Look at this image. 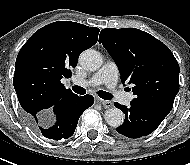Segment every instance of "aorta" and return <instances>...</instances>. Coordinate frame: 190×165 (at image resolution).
<instances>
[{
    "mask_svg": "<svg viewBox=\"0 0 190 165\" xmlns=\"http://www.w3.org/2000/svg\"><path fill=\"white\" fill-rule=\"evenodd\" d=\"M79 62L84 69L96 71L102 65V56L94 49H87L81 53ZM104 117L107 124L112 127H119L124 121V113L116 107L106 110Z\"/></svg>",
    "mask_w": 190,
    "mask_h": 165,
    "instance_id": "aorta-1",
    "label": "aorta"
}]
</instances>
